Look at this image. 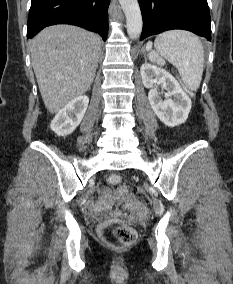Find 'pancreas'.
I'll return each mask as SVG.
<instances>
[{
	"label": "pancreas",
	"instance_id": "obj_1",
	"mask_svg": "<svg viewBox=\"0 0 233 284\" xmlns=\"http://www.w3.org/2000/svg\"><path fill=\"white\" fill-rule=\"evenodd\" d=\"M160 64H163V61L161 59L157 60Z\"/></svg>",
	"mask_w": 233,
	"mask_h": 284
}]
</instances>
